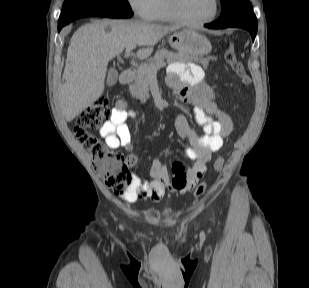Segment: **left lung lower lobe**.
<instances>
[{"mask_svg": "<svg viewBox=\"0 0 309 288\" xmlns=\"http://www.w3.org/2000/svg\"><path fill=\"white\" fill-rule=\"evenodd\" d=\"M205 27L212 29H220L227 27H240L248 30L254 41L257 33V18L254 12L247 11L229 19L218 20L216 22L206 24Z\"/></svg>", "mask_w": 309, "mask_h": 288, "instance_id": "0a47b994", "label": "left lung lower lobe"}]
</instances>
